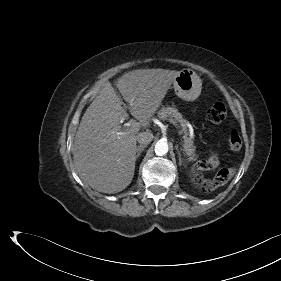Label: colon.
Wrapping results in <instances>:
<instances>
[{
	"mask_svg": "<svg viewBox=\"0 0 281 281\" xmlns=\"http://www.w3.org/2000/svg\"><path fill=\"white\" fill-rule=\"evenodd\" d=\"M227 115V109L223 103H215L212 105L208 112L207 118L213 123H220L225 120ZM227 144L232 150H239L242 146V140L240 135L236 131H231L227 138ZM219 159L216 153L210 154V156L198 164V169L208 170L218 165ZM233 168L221 169L218 171L216 176L211 180L203 179L198 172L193 174L192 180L202 188V190L209 192L217 187L226 183L234 174Z\"/></svg>",
	"mask_w": 281,
	"mask_h": 281,
	"instance_id": "obj_1",
	"label": "colon"
}]
</instances>
